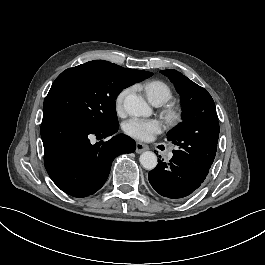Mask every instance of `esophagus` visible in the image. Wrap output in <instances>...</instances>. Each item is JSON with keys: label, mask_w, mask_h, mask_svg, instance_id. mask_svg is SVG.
<instances>
[{"label": "esophagus", "mask_w": 265, "mask_h": 265, "mask_svg": "<svg viewBox=\"0 0 265 265\" xmlns=\"http://www.w3.org/2000/svg\"><path fill=\"white\" fill-rule=\"evenodd\" d=\"M148 149H149L148 145L141 143V142L136 143V153L140 154L141 152L148 150Z\"/></svg>", "instance_id": "obj_1"}]
</instances>
